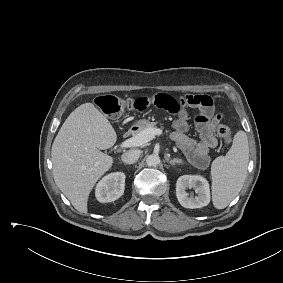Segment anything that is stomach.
<instances>
[{"mask_svg":"<svg viewBox=\"0 0 283 283\" xmlns=\"http://www.w3.org/2000/svg\"><path fill=\"white\" fill-rule=\"evenodd\" d=\"M148 122H149L148 120L142 119L137 121L134 126L140 129L141 127H144Z\"/></svg>","mask_w":283,"mask_h":283,"instance_id":"obj_1","label":"stomach"}]
</instances>
